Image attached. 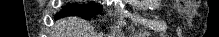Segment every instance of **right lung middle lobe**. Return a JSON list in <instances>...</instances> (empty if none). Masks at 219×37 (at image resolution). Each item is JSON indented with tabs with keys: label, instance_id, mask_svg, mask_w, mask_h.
<instances>
[{
	"label": "right lung middle lobe",
	"instance_id": "1",
	"mask_svg": "<svg viewBox=\"0 0 219 37\" xmlns=\"http://www.w3.org/2000/svg\"><path fill=\"white\" fill-rule=\"evenodd\" d=\"M102 14L101 8L95 5L90 4L89 6L86 5H68V7H63V10L56 15V17H63V16H79L86 20H89L95 14Z\"/></svg>",
	"mask_w": 219,
	"mask_h": 37
}]
</instances>
